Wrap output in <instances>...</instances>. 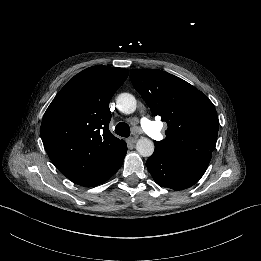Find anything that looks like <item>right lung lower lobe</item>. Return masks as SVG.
<instances>
[{"instance_id":"right-lung-lower-lobe-1","label":"right lung lower lobe","mask_w":261,"mask_h":261,"mask_svg":"<svg viewBox=\"0 0 261 261\" xmlns=\"http://www.w3.org/2000/svg\"><path fill=\"white\" fill-rule=\"evenodd\" d=\"M126 151H123L112 163H110L105 169H103L102 171L87 177L79 182H77V184L81 185V186H85V187H92V186H96L99 185L103 182H105L106 180H108L110 177H112L117 170L121 167L122 163H123V159L126 155Z\"/></svg>"}]
</instances>
